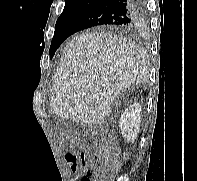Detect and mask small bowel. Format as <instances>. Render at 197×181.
Listing matches in <instances>:
<instances>
[{"mask_svg": "<svg viewBox=\"0 0 197 181\" xmlns=\"http://www.w3.org/2000/svg\"><path fill=\"white\" fill-rule=\"evenodd\" d=\"M71 138L73 140H77L78 139V135L73 134V135H71ZM83 151H86V150H82L80 154H77L75 152H71V153H68L66 155V160H67L69 166L72 168V170L75 171L77 169L78 158H80L81 161L83 162V159H82V156H81Z\"/></svg>", "mask_w": 197, "mask_h": 181, "instance_id": "small-bowel-1", "label": "small bowel"}]
</instances>
